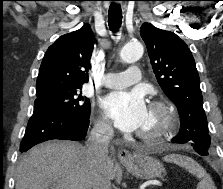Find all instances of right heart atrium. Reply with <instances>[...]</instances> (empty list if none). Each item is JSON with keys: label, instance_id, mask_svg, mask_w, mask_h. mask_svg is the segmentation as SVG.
Returning a JSON list of instances; mask_svg holds the SVG:
<instances>
[{"label": "right heart atrium", "instance_id": "right-heart-atrium-1", "mask_svg": "<svg viewBox=\"0 0 223 189\" xmlns=\"http://www.w3.org/2000/svg\"><path fill=\"white\" fill-rule=\"evenodd\" d=\"M95 129L104 135H108L111 133L112 128L110 126V124L108 123V121L103 118L102 116H99L96 120H95Z\"/></svg>", "mask_w": 223, "mask_h": 189}]
</instances>
